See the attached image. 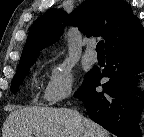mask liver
<instances>
[{
  "mask_svg": "<svg viewBox=\"0 0 144 137\" xmlns=\"http://www.w3.org/2000/svg\"><path fill=\"white\" fill-rule=\"evenodd\" d=\"M109 137V132L67 108L24 107L12 111L2 137Z\"/></svg>",
  "mask_w": 144,
  "mask_h": 137,
  "instance_id": "liver-1",
  "label": "liver"
}]
</instances>
